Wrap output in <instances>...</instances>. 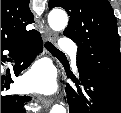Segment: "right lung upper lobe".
<instances>
[{"mask_svg":"<svg viewBox=\"0 0 121 113\" xmlns=\"http://www.w3.org/2000/svg\"><path fill=\"white\" fill-rule=\"evenodd\" d=\"M33 22L29 0H1V47L37 32L25 30L26 26Z\"/></svg>","mask_w":121,"mask_h":113,"instance_id":"cb5924a9","label":"right lung upper lobe"}]
</instances>
